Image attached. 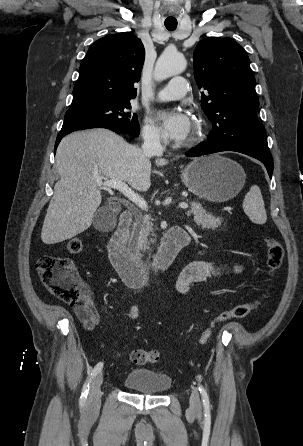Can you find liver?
Segmentation results:
<instances>
[{
	"label": "liver",
	"instance_id": "1",
	"mask_svg": "<svg viewBox=\"0 0 303 446\" xmlns=\"http://www.w3.org/2000/svg\"><path fill=\"white\" fill-rule=\"evenodd\" d=\"M155 164L164 166L168 160L157 157ZM151 167L150 157L142 149L107 129L64 137L56 151L60 180L55 184L44 219L43 243L63 242L90 227L102 201L97 179L127 182L138 191H147L151 186Z\"/></svg>",
	"mask_w": 303,
	"mask_h": 446
}]
</instances>
